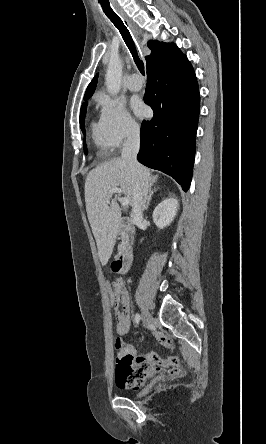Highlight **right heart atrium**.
<instances>
[{"label": "right heart atrium", "mask_w": 266, "mask_h": 444, "mask_svg": "<svg viewBox=\"0 0 266 444\" xmlns=\"http://www.w3.org/2000/svg\"><path fill=\"white\" fill-rule=\"evenodd\" d=\"M100 125L111 148H120L125 142L136 138L139 124L120 100L102 97Z\"/></svg>", "instance_id": "right-heart-atrium-1"}]
</instances>
